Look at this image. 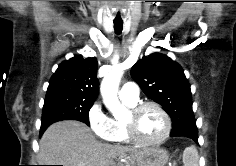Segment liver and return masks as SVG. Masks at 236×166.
<instances>
[{
	"label": "liver",
	"mask_w": 236,
	"mask_h": 166,
	"mask_svg": "<svg viewBox=\"0 0 236 166\" xmlns=\"http://www.w3.org/2000/svg\"><path fill=\"white\" fill-rule=\"evenodd\" d=\"M143 151L101 143L90 128L79 121L65 120L52 124L39 142L40 165L115 166L123 159L126 166L140 160Z\"/></svg>",
	"instance_id": "6515ba94"
}]
</instances>
